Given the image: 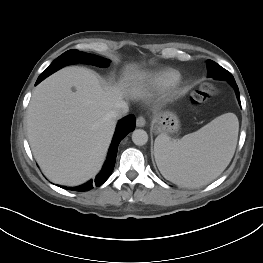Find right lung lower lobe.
Wrapping results in <instances>:
<instances>
[{"label": "right lung lower lobe", "mask_w": 263, "mask_h": 263, "mask_svg": "<svg viewBox=\"0 0 263 263\" xmlns=\"http://www.w3.org/2000/svg\"><path fill=\"white\" fill-rule=\"evenodd\" d=\"M60 68H47L37 79L36 85L40 83L43 79H45L50 74L54 73ZM135 129V117L134 115H128L121 119L117 125L116 132L114 134L111 147L107 156V160L101 170V172L96 177L95 181L90 180L89 182L78 186V187H64L62 188L73 190V191H88L93 188L94 185L97 187L102 185L110 176L113 171L117 149L120 141L131 131Z\"/></svg>", "instance_id": "right-lung-lower-lobe-1"}]
</instances>
